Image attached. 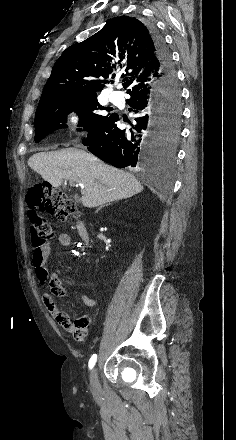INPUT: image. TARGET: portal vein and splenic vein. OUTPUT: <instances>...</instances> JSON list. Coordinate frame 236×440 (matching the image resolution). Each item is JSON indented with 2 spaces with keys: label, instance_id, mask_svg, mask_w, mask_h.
<instances>
[{
  "label": "portal vein and splenic vein",
  "instance_id": "1",
  "mask_svg": "<svg viewBox=\"0 0 236 440\" xmlns=\"http://www.w3.org/2000/svg\"><path fill=\"white\" fill-rule=\"evenodd\" d=\"M70 185H74V186H76V187H78L80 184H74V182H70Z\"/></svg>",
  "mask_w": 236,
  "mask_h": 440
}]
</instances>
